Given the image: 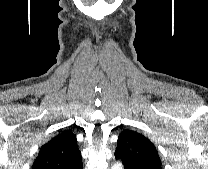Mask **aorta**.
Segmentation results:
<instances>
[{"instance_id": "762f6f07", "label": "aorta", "mask_w": 208, "mask_h": 169, "mask_svg": "<svg viewBox=\"0 0 208 169\" xmlns=\"http://www.w3.org/2000/svg\"><path fill=\"white\" fill-rule=\"evenodd\" d=\"M112 169H123V165L121 162H116L114 163V165L112 166Z\"/></svg>"}]
</instances>
